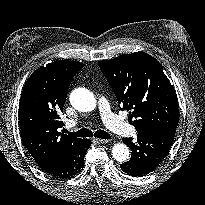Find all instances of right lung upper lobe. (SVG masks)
I'll list each match as a JSON object with an SVG mask.
<instances>
[{"instance_id":"cb5924a9","label":"right lung upper lobe","mask_w":205,"mask_h":205,"mask_svg":"<svg viewBox=\"0 0 205 205\" xmlns=\"http://www.w3.org/2000/svg\"><path fill=\"white\" fill-rule=\"evenodd\" d=\"M84 67L76 61H57L38 68L27 80L19 103L23 144L43 168L64 156L82 139L59 132L60 112L70 81Z\"/></svg>"}]
</instances>
